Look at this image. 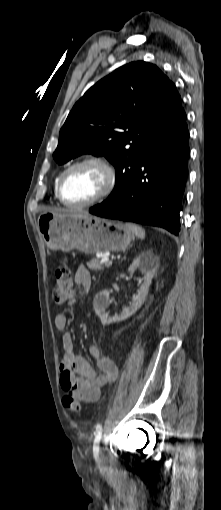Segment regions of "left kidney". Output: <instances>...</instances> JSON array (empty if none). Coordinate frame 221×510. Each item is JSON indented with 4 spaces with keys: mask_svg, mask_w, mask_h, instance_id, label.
Here are the masks:
<instances>
[{
    "mask_svg": "<svg viewBox=\"0 0 221 510\" xmlns=\"http://www.w3.org/2000/svg\"><path fill=\"white\" fill-rule=\"evenodd\" d=\"M159 267V258L151 251H144L138 255L128 268L130 272L139 269L144 275V281L140 286L138 294L133 296L132 303L129 307L123 308L119 315L109 316L107 308L111 301L109 292L107 290L99 292L93 300V308L95 313L101 320L102 325H109L111 323L120 322L132 316L144 303L148 294L149 287L157 269Z\"/></svg>",
    "mask_w": 221,
    "mask_h": 510,
    "instance_id": "obj_1",
    "label": "left kidney"
}]
</instances>
